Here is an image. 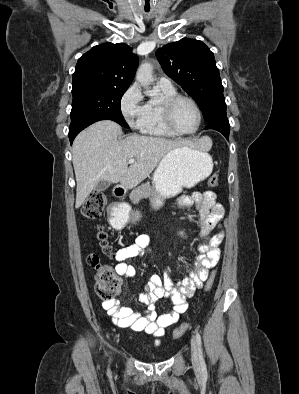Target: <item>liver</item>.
<instances>
[{
    "label": "liver",
    "mask_w": 299,
    "mask_h": 394,
    "mask_svg": "<svg viewBox=\"0 0 299 394\" xmlns=\"http://www.w3.org/2000/svg\"><path fill=\"white\" fill-rule=\"evenodd\" d=\"M120 125L110 120L94 123L75 138L72 146L77 189L75 207L79 208L99 181L120 182L132 189L145 180L172 149L186 141L130 135L118 141ZM135 162L128 167V160Z\"/></svg>",
    "instance_id": "liver-1"
}]
</instances>
